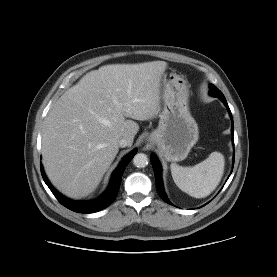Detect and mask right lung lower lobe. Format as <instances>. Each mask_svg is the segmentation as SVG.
<instances>
[{
	"label": "right lung lower lobe",
	"mask_w": 277,
	"mask_h": 277,
	"mask_svg": "<svg viewBox=\"0 0 277 277\" xmlns=\"http://www.w3.org/2000/svg\"><path fill=\"white\" fill-rule=\"evenodd\" d=\"M137 150L135 149L130 154L125 156V158L121 161L118 168L115 170V172L112 174L110 184L107 188V190L103 193V195L95 201H73L62 194H60L49 182L47 179L42 165H41V174L43 177L44 182L49 187L51 192L54 194V196L57 198V200L68 209L78 212V213H93L100 211L109 205L115 200L120 184L122 179V174L126 168V166L129 164V162L132 160V158L135 156Z\"/></svg>",
	"instance_id": "1"
}]
</instances>
